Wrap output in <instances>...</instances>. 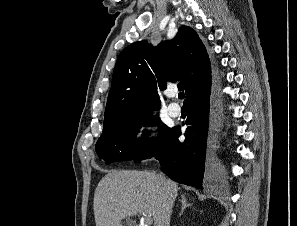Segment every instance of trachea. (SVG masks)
<instances>
[{"label":"trachea","instance_id":"trachea-1","mask_svg":"<svg viewBox=\"0 0 297 226\" xmlns=\"http://www.w3.org/2000/svg\"><path fill=\"white\" fill-rule=\"evenodd\" d=\"M178 97H179V99H183L184 98V92H180ZM184 104H186V101H184Z\"/></svg>","mask_w":297,"mask_h":226}]
</instances>
